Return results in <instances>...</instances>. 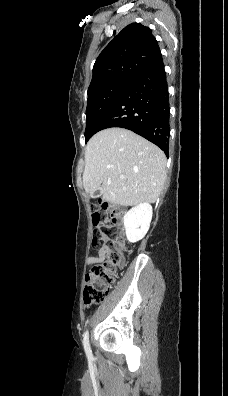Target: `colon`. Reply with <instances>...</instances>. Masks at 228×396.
<instances>
[{
	"mask_svg": "<svg viewBox=\"0 0 228 396\" xmlns=\"http://www.w3.org/2000/svg\"><path fill=\"white\" fill-rule=\"evenodd\" d=\"M95 227L92 245L107 247L108 252L102 263L93 266L86 275L83 294L84 304L91 306L101 302L115 282L123 259L126 245L116 229L121 227V216L118 209L107 202L101 203V209L92 214Z\"/></svg>",
	"mask_w": 228,
	"mask_h": 396,
	"instance_id": "1",
	"label": "colon"
}]
</instances>
